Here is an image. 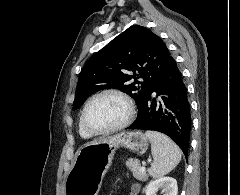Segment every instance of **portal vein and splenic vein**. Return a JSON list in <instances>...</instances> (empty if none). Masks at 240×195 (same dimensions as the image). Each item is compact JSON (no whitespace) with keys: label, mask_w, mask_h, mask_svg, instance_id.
Listing matches in <instances>:
<instances>
[{"label":"portal vein and splenic vein","mask_w":240,"mask_h":195,"mask_svg":"<svg viewBox=\"0 0 240 195\" xmlns=\"http://www.w3.org/2000/svg\"><path fill=\"white\" fill-rule=\"evenodd\" d=\"M144 165H145V163H143L142 167H140L141 171H145Z\"/></svg>","instance_id":"1"}]
</instances>
